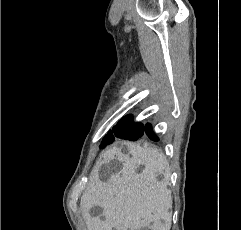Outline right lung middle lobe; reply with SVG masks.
<instances>
[{
    "mask_svg": "<svg viewBox=\"0 0 241 230\" xmlns=\"http://www.w3.org/2000/svg\"><path fill=\"white\" fill-rule=\"evenodd\" d=\"M133 124L132 122V116H125L122 118L117 125L113 128V130H110L107 135L103 138V141L100 145V148H104L107 145L113 143L118 138L120 139H127L131 141H136L142 136H138L137 134H134L132 132L128 131V127Z\"/></svg>",
    "mask_w": 241,
    "mask_h": 230,
    "instance_id": "obj_1",
    "label": "right lung middle lobe"
}]
</instances>
